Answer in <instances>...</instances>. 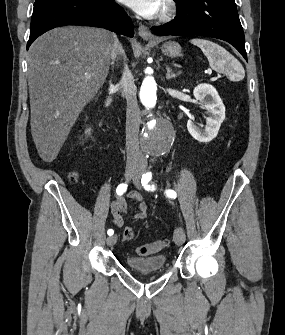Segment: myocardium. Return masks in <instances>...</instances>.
<instances>
[{
  "mask_svg": "<svg viewBox=\"0 0 285 335\" xmlns=\"http://www.w3.org/2000/svg\"><path fill=\"white\" fill-rule=\"evenodd\" d=\"M161 14L163 20L169 19L175 13L174 1H160Z\"/></svg>",
  "mask_w": 285,
  "mask_h": 335,
  "instance_id": "1",
  "label": "myocardium"
}]
</instances>
